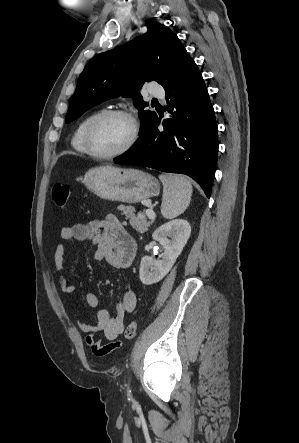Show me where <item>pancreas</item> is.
<instances>
[{
    "label": "pancreas",
    "mask_w": 299,
    "mask_h": 443,
    "mask_svg": "<svg viewBox=\"0 0 299 443\" xmlns=\"http://www.w3.org/2000/svg\"><path fill=\"white\" fill-rule=\"evenodd\" d=\"M119 209L122 215H125L126 219H129L130 225L141 234L145 233L152 224V221H147L146 213L141 212L136 215L135 209L132 206H121Z\"/></svg>",
    "instance_id": "cf45deb5"
}]
</instances>
